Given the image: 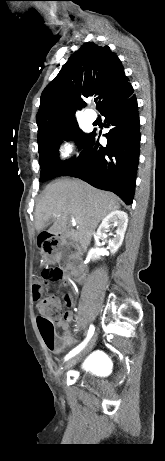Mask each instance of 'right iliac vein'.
<instances>
[{"mask_svg": "<svg viewBox=\"0 0 165 461\" xmlns=\"http://www.w3.org/2000/svg\"><path fill=\"white\" fill-rule=\"evenodd\" d=\"M96 340H97V334L95 333L91 339L89 340V342L87 343V345L82 349V351H80L77 355H75L74 357H72L70 360L67 361V363L65 364V369H69L71 368L72 366H74L83 356H85L87 353H89L92 348L94 347L95 343H96Z\"/></svg>", "mask_w": 165, "mask_h": 461, "instance_id": "1", "label": "right iliac vein"}]
</instances>
